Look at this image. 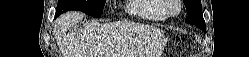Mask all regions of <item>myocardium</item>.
Listing matches in <instances>:
<instances>
[{
  "label": "myocardium",
  "instance_id": "f54148a6",
  "mask_svg": "<svg viewBox=\"0 0 249 57\" xmlns=\"http://www.w3.org/2000/svg\"><path fill=\"white\" fill-rule=\"evenodd\" d=\"M165 11L169 17H176L180 15L183 8L181 0H165Z\"/></svg>",
  "mask_w": 249,
  "mask_h": 57
}]
</instances>
